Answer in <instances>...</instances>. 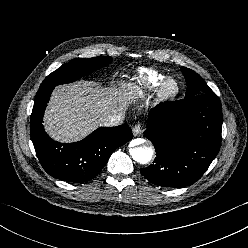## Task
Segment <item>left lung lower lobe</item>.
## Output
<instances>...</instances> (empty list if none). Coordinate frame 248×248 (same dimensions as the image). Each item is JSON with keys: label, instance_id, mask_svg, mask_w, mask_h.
I'll return each mask as SVG.
<instances>
[{"label": "left lung lower lobe", "instance_id": "obj_1", "mask_svg": "<svg viewBox=\"0 0 248 248\" xmlns=\"http://www.w3.org/2000/svg\"><path fill=\"white\" fill-rule=\"evenodd\" d=\"M144 135L157 157L140 169L151 183L164 187L196 182L221 144L222 107L214 93L161 103L150 110Z\"/></svg>", "mask_w": 248, "mask_h": 248}]
</instances>
